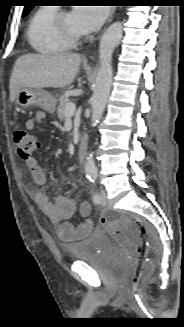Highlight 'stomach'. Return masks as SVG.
<instances>
[{
  "instance_id": "obj_1",
  "label": "stomach",
  "mask_w": 184,
  "mask_h": 327,
  "mask_svg": "<svg viewBox=\"0 0 184 327\" xmlns=\"http://www.w3.org/2000/svg\"><path fill=\"white\" fill-rule=\"evenodd\" d=\"M16 104L22 108L38 106L53 114L56 108V98L42 88H22L16 96Z\"/></svg>"
}]
</instances>
